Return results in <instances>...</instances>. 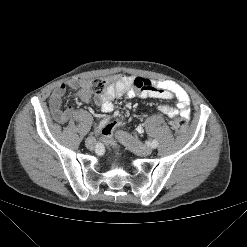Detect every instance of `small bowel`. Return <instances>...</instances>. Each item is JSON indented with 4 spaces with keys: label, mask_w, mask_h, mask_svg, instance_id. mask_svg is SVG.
I'll return each instance as SVG.
<instances>
[{
    "label": "small bowel",
    "mask_w": 247,
    "mask_h": 247,
    "mask_svg": "<svg viewBox=\"0 0 247 247\" xmlns=\"http://www.w3.org/2000/svg\"><path fill=\"white\" fill-rule=\"evenodd\" d=\"M67 89L76 90V95L81 101L85 103L91 101V94L83 81L71 80L56 86L50 96L49 107L53 119L58 123H66L76 114L75 109L71 106L62 109V98ZM136 96L162 100L175 99L176 107L160 105L158 110L170 118L181 116L189 119L191 116L190 99L187 92L180 85L168 80L152 81L142 77H120L118 80H109L105 93L94 98V102L103 113L110 114L114 109L115 99ZM103 141L110 144L112 139L104 137Z\"/></svg>",
    "instance_id": "1"
}]
</instances>
